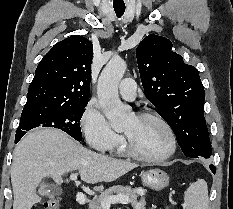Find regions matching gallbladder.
Segmentation results:
<instances>
[{
    "label": "gallbladder",
    "instance_id": "1",
    "mask_svg": "<svg viewBox=\"0 0 233 209\" xmlns=\"http://www.w3.org/2000/svg\"><path fill=\"white\" fill-rule=\"evenodd\" d=\"M62 189L59 187H52L51 185H47L42 183L40 185V189H39V193L42 196H49V197H54L57 196L59 194H61Z\"/></svg>",
    "mask_w": 233,
    "mask_h": 209
}]
</instances>
